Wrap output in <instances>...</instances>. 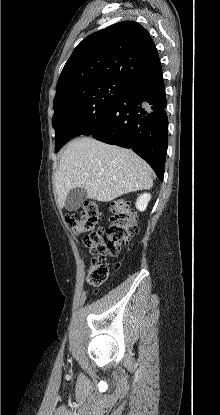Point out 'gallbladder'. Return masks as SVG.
I'll return each instance as SVG.
<instances>
[{
  "label": "gallbladder",
  "mask_w": 220,
  "mask_h": 415,
  "mask_svg": "<svg viewBox=\"0 0 220 415\" xmlns=\"http://www.w3.org/2000/svg\"><path fill=\"white\" fill-rule=\"evenodd\" d=\"M87 198V192L83 188H74L70 190L66 197L65 209L68 211L77 210Z\"/></svg>",
  "instance_id": "obj_1"
}]
</instances>
